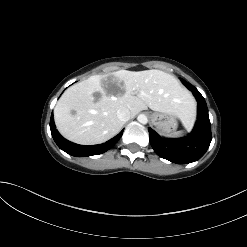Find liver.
Returning <instances> with one entry per match:
<instances>
[{
	"label": "liver",
	"instance_id": "liver-1",
	"mask_svg": "<svg viewBox=\"0 0 247 247\" xmlns=\"http://www.w3.org/2000/svg\"><path fill=\"white\" fill-rule=\"evenodd\" d=\"M100 93L95 101L93 94ZM121 107L134 117L148 107L177 116L186 128L195 117V102L176 77L161 70H119L93 75L69 87L57 102L54 120L60 134L81 144L106 142L121 130ZM74 112V114H72Z\"/></svg>",
	"mask_w": 247,
	"mask_h": 247
}]
</instances>
